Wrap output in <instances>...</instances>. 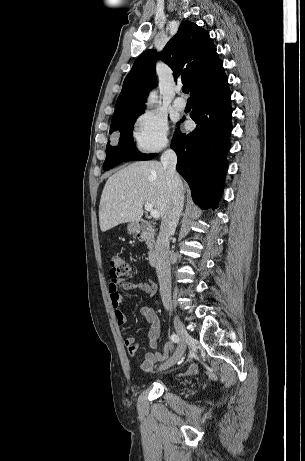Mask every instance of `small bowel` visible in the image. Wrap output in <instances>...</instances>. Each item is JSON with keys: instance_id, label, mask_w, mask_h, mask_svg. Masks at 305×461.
Listing matches in <instances>:
<instances>
[{"instance_id": "obj_1", "label": "small bowel", "mask_w": 305, "mask_h": 461, "mask_svg": "<svg viewBox=\"0 0 305 461\" xmlns=\"http://www.w3.org/2000/svg\"><path fill=\"white\" fill-rule=\"evenodd\" d=\"M120 290H141L144 291L148 296H154L157 292V286L154 282L150 280L134 282L130 280H115L112 279L109 283L108 292L111 302L112 309L114 311L115 320L118 324L122 325L126 321L124 313L120 309L122 295ZM141 315L144 319L150 324V329L148 332V344L153 350L148 352L145 355L144 360L140 363V368L143 371L150 372L152 371L154 365L157 362L164 361L167 359L168 355L173 351V345L171 343H166L163 347V352L158 351V338L160 336V320L155 310L149 306H143L140 309ZM125 347L128 353L134 356L138 350L139 343L135 337H127L125 339ZM198 372V366L192 365L188 371L182 376L194 375Z\"/></svg>"}]
</instances>
